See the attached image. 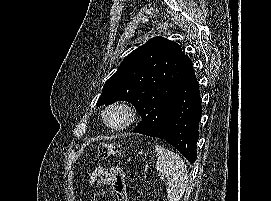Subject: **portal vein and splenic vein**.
I'll use <instances>...</instances> for the list:
<instances>
[{"instance_id":"obj_1","label":"portal vein and splenic vein","mask_w":271,"mask_h":201,"mask_svg":"<svg viewBox=\"0 0 271 201\" xmlns=\"http://www.w3.org/2000/svg\"><path fill=\"white\" fill-rule=\"evenodd\" d=\"M160 179H161V180H164V177H163V176H161V177H160Z\"/></svg>"}]
</instances>
